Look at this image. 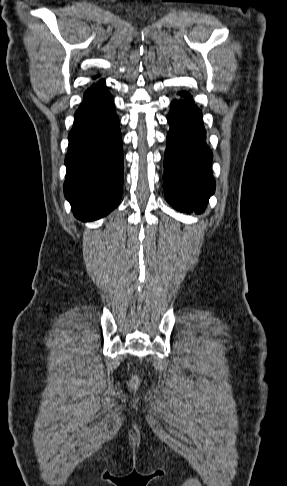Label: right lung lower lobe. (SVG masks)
I'll return each instance as SVG.
<instances>
[{
  "label": "right lung lower lobe",
  "mask_w": 287,
  "mask_h": 486,
  "mask_svg": "<svg viewBox=\"0 0 287 486\" xmlns=\"http://www.w3.org/2000/svg\"><path fill=\"white\" fill-rule=\"evenodd\" d=\"M68 139L65 197L78 219L102 218L119 205L124 175L119 120L104 80L84 93Z\"/></svg>",
  "instance_id": "obj_1"
}]
</instances>
